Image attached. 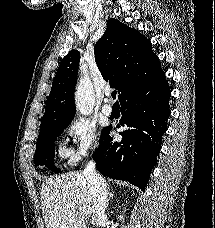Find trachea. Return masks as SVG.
<instances>
[{
    "label": "trachea",
    "instance_id": "1",
    "mask_svg": "<svg viewBox=\"0 0 215 228\" xmlns=\"http://www.w3.org/2000/svg\"><path fill=\"white\" fill-rule=\"evenodd\" d=\"M116 95H117V92H116V90H114V91L111 93V96H112L113 100H115ZM116 103H118V102H116Z\"/></svg>",
    "mask_w": 215,
    "mask_h": 228
}]
</instances>
